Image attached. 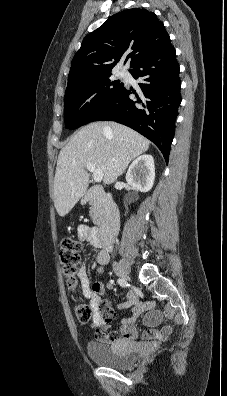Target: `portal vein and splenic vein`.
I'll return each mask as SVG.
<instances>
[{
	"label": "portal vein and splenic vein",
	"instance_id": "portal-vein-and-splenic-vein-1",
	"mask_svg": "<svg viewBox=\"0 0 227 396\" xmlns=\"http://www.w3.org/2000/svg\"><path fill=\"white\" fill-rule=\"evenodd\" d=\"M86 168L88 171L93 173V178L95 182H100L103 179V174L101 170L96 169L93 163H87Z\"/></svg>",
	"mask_w": 227,
	"mask_h": 396
}]
</instances>
